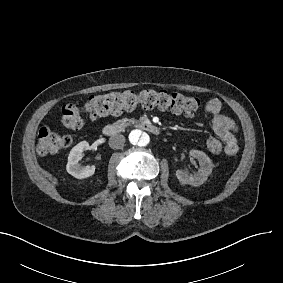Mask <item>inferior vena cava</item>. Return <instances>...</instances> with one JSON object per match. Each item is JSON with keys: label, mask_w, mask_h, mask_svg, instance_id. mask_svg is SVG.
<instances>
[{"label": "inferior vena cava", "mask_w": 283, "mask_h": 283, "mask_svg": "<svg viewBox=\"0 0 283 283\" xmlns=\"http://www.w3.org/2000/svg\"><path fill=\"white\" fill-rule=\"evenodd\" d=\"M125 137L120 134L113 135L109 138V146L112 149H121L124 146Z\"/></svg>", "instance_id": "1"}]
</instances>
